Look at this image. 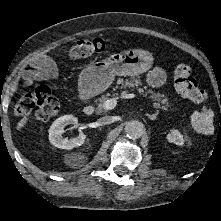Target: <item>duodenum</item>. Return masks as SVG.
Instances as JSON below:
<instances>
[{"label":"duodenum","instance_id":"410a0bca","mask_svg":"<svg viewBox=\"0 0 221 221\" xmlns=\"http://www.w3.org/2000/svg\"><path fill=\"white\" fill-rule=\"evenodd\" d=\"M83 112L86 115H92L94 112V107L92 105H88V106L84 107Z\"/></svg>","mask_w":221,"mask_h":221}]
</instances>
